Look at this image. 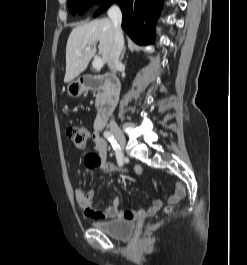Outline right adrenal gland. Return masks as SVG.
I'll list each match as a JSON object with an SVG mask.
<instances>
[{
  "label": "right adrenal gland",
  "mask_w": 247,
  "mask_h": 265,
  "mask_svg": "<svg viewBox=\"0 0 247 265\" xmlns=\"http://www.w3.org/2000/svg\"><path fill=\"white\" fill-rule=\"evenodd\" d=\"M125 51H126V48L124 47V48H123L122 55H121V58H120V61H122V60H123V58H124V55H125Z\"/></svg>",
  "instance_id": "right-adrenal-gland-1"
}]
</instances>
